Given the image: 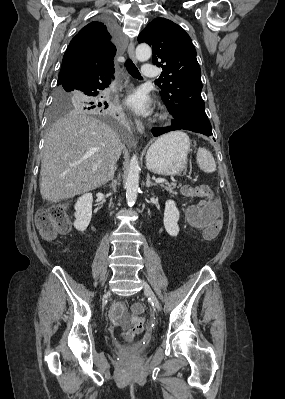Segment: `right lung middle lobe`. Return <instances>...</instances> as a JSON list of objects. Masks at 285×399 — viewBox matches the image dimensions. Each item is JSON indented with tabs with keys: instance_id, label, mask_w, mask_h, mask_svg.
Here are the masks:
<instances>
[{
	"instance_id": "dd1d6c3e",
	"label": "right lung middle lobe",
	"mask_w": 285,
	"mask_h": 399,
	"mask_svg": "<svg viewBox=\"0 0 285 399\" xmlns=\"http://www.w3.org/2000/svg\"><path fill=\"white\" fill-rule=\"evenodd\" d=\"M97 97H90L71 85L63 84L58 86L54 96L50 122L52 123L58 116L68 113L72 110L79 112L89 111L99 114H110L111 109L107 108L108 106L104 107L102 104L97 105Z\"/></svg>"
}]
</instances>
